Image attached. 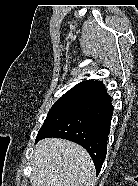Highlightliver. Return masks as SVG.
Wrapping results in <instances>:
<instances>
[{
	"mask_svg": "<svg viewBox=\"0 0 138 186\" xmlns=\"http://www.w3.org/2000/svg\"><path fill=\"white\" fill-rule=\"evenodd\" d=\"M95 167L87 151L64 139L39 141L33 154L32 186H94Z\"/></svg>",
	"mask_w": 138,
	"mask_h": 186,
	"instance_id": "1",
	"label": "liver"
}]
</instances>
